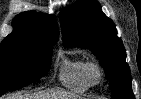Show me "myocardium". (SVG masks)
Returning a JSON list of instances; mask_svg holds the SVG:
<instances>
[{
    "mask_svg": "<svg viewBox=\"0 0 141 99\" xmlns=\"http://www.w3.org/2000/svg\"><path fill=\"white\" fill-rule=\"evenodd\" d=\"M96 73V77H93ZM84 76L91 86L98 85L104 78V70L97 61H88L85 65Z\"/></svg>",
    "mask_w": 141,
    "mask_h": 99,
    "instance_id": "1",
    "label": "myocardium"
}]
</instances>
